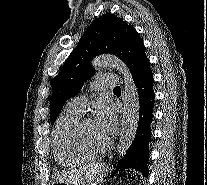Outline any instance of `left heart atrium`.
I'll list each match as a JSON object with an SVG mask.
<instances>
[{"label": "left heart atrium", "mask_w": 207, "mask_h": 185, "mask_svg": "<svg viewBox=\"0 0 207 185\" xmlns=\"http://www.w3.org/2000/svg\"><path fill=\"white\" fill-rule=\"evenodd\" d=\"M94 124L107 138H112L118 128V121L114 110L107 106H100L95 114Z\"/></svg>", "instance_id": "39dd6f15"}]
</instances>
